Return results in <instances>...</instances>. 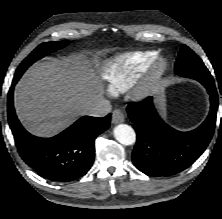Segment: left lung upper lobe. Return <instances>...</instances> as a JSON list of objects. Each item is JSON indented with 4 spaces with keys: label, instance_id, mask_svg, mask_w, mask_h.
<instances>
[{
    "label": "left lung upper lobe",
    "instance_id": "1",
    "mask_svg": "<svg viewBox=\"0 0 222 219\" xmlns=\"http://www.w3.org/2000/svg\"><path fill=\"white\" fill-rule=\"evenodd\" d=\"M175 70L179 76L193 78L198 81L213 80L202 60L186 45H183L180 49L175 63Z\"/></svg>",
    "mask_w": 222,
    "mask_h": 219
}]
</instances>
